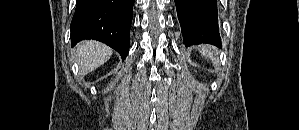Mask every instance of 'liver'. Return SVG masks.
<instances>
[{"label":"liver","mask_w":299,"mask_h":130,"mask_svg":"<svg viewBox=\"0 0 299 130\" xmlns=\"http://www.w3.org/2000/svg\"><path fill=\"white\" fill-rule=\"evenodd\" d=\"M112 49L93 40H86L78 44L76 56L80 71L84 74L92 72L107 62L112 56Z\"/></svg>","instance_id":"1"}]
</instances>
